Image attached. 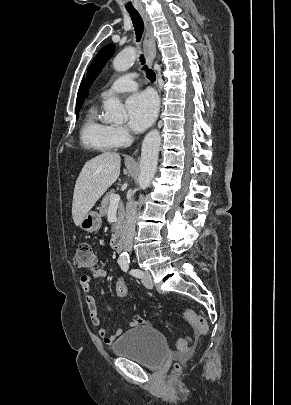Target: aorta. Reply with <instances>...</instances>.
<instances>
[{"instance_id":"762f6f07","label":"aorta","mask_w":291,"mask_h":405,"mask_svg":"<svg viewBox=\"0 0 291 405\" xmlns=\"http://www.w3.org/2000/svg\"><path fill=\"white\" fill-rule=\"evenodd\" d=\"M136 57L135 48H125L114 58L113 67L118 72L126 71L132 67ZM104 110V119L109 122H122L126 114L123 104L117 97L107 99L104 102ZM160 144L161 136L158 130L150 131L143 140L138 178V184L142 190L150 186L157 171ZM128 258L127 252L121 253V260H128Z\"/></svg>"}]
</instances>
